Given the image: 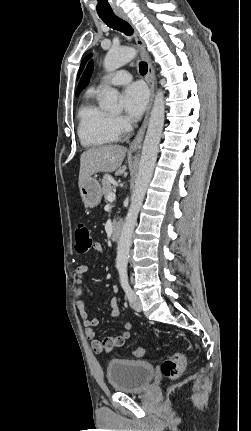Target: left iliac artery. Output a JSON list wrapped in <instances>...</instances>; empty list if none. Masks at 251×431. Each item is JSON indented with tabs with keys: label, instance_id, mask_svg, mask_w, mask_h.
Masks as SVG:
<instances>
[{
	"label": "left iliac artery",
	"instance_id": "left-iliac-artery-1",
	"mask_svg": "<svg viewBox=\"0 0 251 431\" xmlns=\"http://www.w3.org/2000/svg\"><path fill=\"white\" fill-rule=\"evenodd\" d=\"M119 275H120V283L123 288V290L126 293V296L128 297L129 301H132L134 292L132 291L129 283H128V275H127V268L125 266L119 267Z\"/></svg>",
	"mask_w": 251,
	"mask_h": 431
}]
</instances>
